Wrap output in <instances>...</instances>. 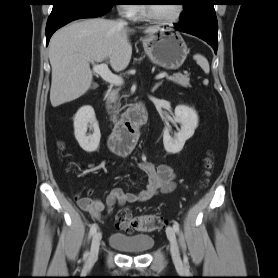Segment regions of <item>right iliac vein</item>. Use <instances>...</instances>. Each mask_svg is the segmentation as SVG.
Masks as SVG:
<instances>
[{"mask_svg":"<svg viewBox=\"0 0 278 278\" xmlns=\"http://www.w3.org/2000/svg\"><path fill=\"white\" fill-rule=\"evenodd\" d=\"M101 238H102L101 232H96L92 238L90 253L88 257L89 267H91L98 259Z\"/></svg>","mask_w":278,"mask_h":278,"instance_id":"63e3f726","label":"right iliac vein"}]
</instances>
